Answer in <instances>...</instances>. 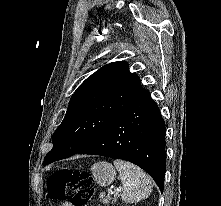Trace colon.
<instances>
[{
	"label": "colon",
	"mask_w": 221,
	"mask_h": 206,
	"mask_svg": "<svg viewBox=\"0 0 221 206\" xmlns=\"http://www.w3.org/2000/svg\"><path fill=\"white\" fill-rule=\"evenodd\" d=\"M49 194L57 200H68L72 206H87L94 191V182L88 172L63 168L47 182Z\"/></svg>",
	"instance_id": "5ec220e1"
}]
</instances>
